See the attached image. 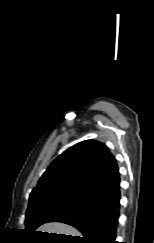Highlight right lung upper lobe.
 Instances as JSON below:
<instances>
[{"mask_svg":"<svg viewBox=\"0 0 154 243\" xmlns=\"http://www.w3.org/2000/svg\"><path fill=\"white\" fill-rule=\"evenodd\" d=\"M120 181L115 158L101 142L86 140L59 155L47 168L30 200L68 196L87 201Z\"/></svg>","mask_w":154,"mask_h":243,"instance_id":"1","label":"right lung upper lobe"}]
</instances>
